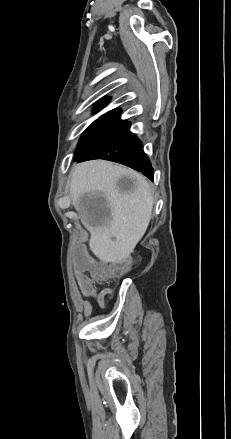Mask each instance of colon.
I'll use <instances>...</instances> for the list:
<instances>
[{
    "instance_id": "5ec220e1",
    "label": "colon",
    "mask_w": 231,
    "mask_h": 439,
    "mask_svg": "<svg viewBox=\"0 0 231 439\" xmlns=\"http://www.w3.org/2000/svg\"><path fill=\"white\" fill-rule=\"evenodd\" d=\"M89 248L87 246H77L76 254L73 258L75 263V273L77 276V283L82 287V293L88 298L93 299L96 296L94 290V279L101 280L106 277L119 276L123 274L126 269V264L105 268L91 257H87ZM86 256V257H85ZM95 304H100V299H95Z\"/></svg>"
}]
</instances>
